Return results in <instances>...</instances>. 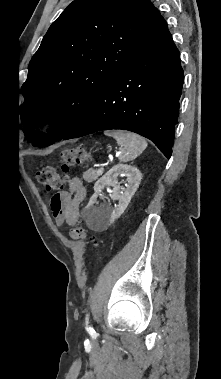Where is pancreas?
Instances as JSON below:
<instances>
[{
    "label": "pancreas",
    "mask_w": 221,
    "mask_h": 379,
    "mask_svg": "<svg viewBox=\"0 0 221 379\" xmlns=\"http://www.w3.org/2000/svg\"><path fill=\"white\" fill-rule=\"evenodd\" d=\"M101 175H102V171L89 169L86 172H84L83 179L86 182H93V181L97 180L98 177Z\"/></svg>",
    "instance_id": "obj_1"
}]
</instances>
